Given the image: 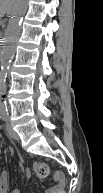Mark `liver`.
<instances>
[{
  "label": "liver",
  "mask_w": 103,
  "mask_h": 193,
  "mask_svg": "<svg viewBox=\"0 0 103 193\" xmlns=\"http://www.w3.org/2000/svg\"><path fill=\"white\" fill-rule=\"evenodd\" d=\"M13 0H1L0 1V13L1 15L9 14L12 10Z\"/></svg>",
  "instance_id": "6515ba94"
}]
</instances>
